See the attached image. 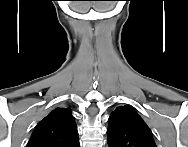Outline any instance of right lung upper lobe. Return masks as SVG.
Here are the masks:
<instances>
[{"label": "right lung upper lobe", "instance_id": "obj_1", "mask_svg": "<svg viewBox=\"0 0 188 147\" xmlns=\"http://www.w3.org/2000/svg\"><path fill=\"white\" fill-rule=\"evenodd\" d=\"M28 147H79L75 118L69 108H56L33 131Z\"/></svg>", "mask_w": 188, "mask_h": 147}]
</instances>
